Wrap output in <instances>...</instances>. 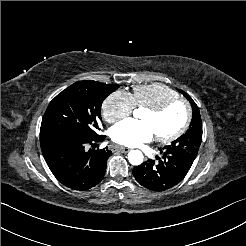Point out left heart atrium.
I'll return each instance as SVG.
<instances>
[{
	"label": "left heart atrium",
	"instance_id": "1",
	"mask_svg": "<svg viewBox=\"0 0 246 246\" xmlns=\"http://www.w3.org/2000/svg\"><path fill=\"white\" fill-rule=\"evenodd\" d=\"M151 127L142 121L128 119L112 128L111 138L115 143L127 146H140L154 137Z\"/></svg>",
	"mask_w": 246,
	"mask_h": 246
}]
</instances>
